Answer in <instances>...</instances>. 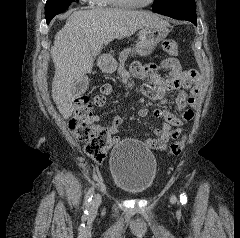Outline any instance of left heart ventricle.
Here are the masks:
<instances>
[{
    "label": "left heart ventricle",
    "mask_w": 240,
    "mask_h": 238,
    "mask_svg": "<svg viewBox=\"0 0 240 238\" xmlns=\"http://www.w3.org/2000/svg\"><path fill=\"white\" fill-rule=\"evenodd\" d=\"M128 1L137 2V3H145V2H147L148 0H128Z\"/></svg>",
    "instance_id": "b2bd125f"
}]
</instances>
